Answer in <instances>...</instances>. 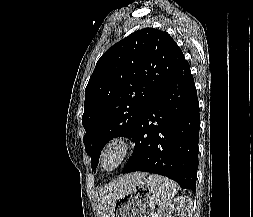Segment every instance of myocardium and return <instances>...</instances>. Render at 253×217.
Instances as JSON below:
<instances>
[{"label":"myocardium","mask_w":253,"mask_h":217,"mask_svg":"<svg viewBox=\"0 0 253 217\" xmlns=\"http://www.w3.org/2000/svg\"><path fill=\"white\" fill-rule=\"evenodd\" d=\"M133 143L129 136L116 134L108 139L100 150L98 168L104 173L118 170L131 156ZM111 163L108 165V161Z\"/></svg>","instance_id":"f54148a6"}]
</instances>
